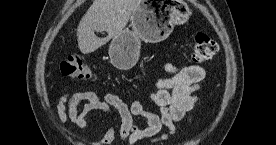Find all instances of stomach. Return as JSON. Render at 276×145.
Listing matches in <instances>:
<instances>
[{
    "mask_svg": "<svg viewBox=\"0 0 276 145\" xmlns=\"http://www.w3.org/2000/svg\"><path fill=\"white\" fill-rule=\"evenodd\" d=\"M191 15L188 5L179 0H140L131 15V30L113 37L109 46L111 63L119 70H129L137 62L141 41L159 43L176 25Z\"/></svg>",
    "mask_w": 276,
    "mask_h": 145,
    "instance_id": "obj_1",
    "label": "stomach"
}]
</instances>
